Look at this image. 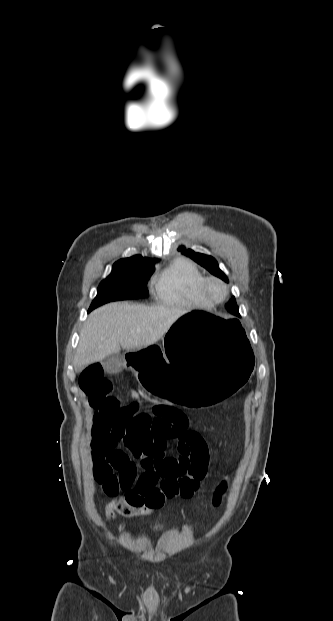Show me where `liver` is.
I'll use <instances>...</instances> for the list:
<instances>
[{
  "label": "liver",
  "instance_id": "1",
  "mask_svg": "<svg viewBox=\"0 0 333 621\" xmlns=\"http://www.w3.org/2000/svg\"><path fill=\"white\" fill-rule=\"evenodd\" d=\"M165 306L117 302L93 311L80 333L74 367L102 361L121 348L137 351L156 343L185 313Z\"/></svg>",
  "mask_w": 333,
  "mask_h": 621
}]
</instances>
